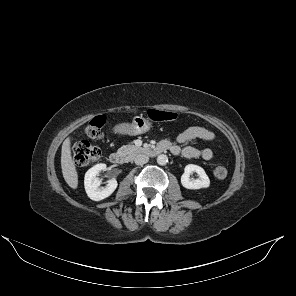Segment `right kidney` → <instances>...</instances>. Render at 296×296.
<instances>
[{
	"label": "right kidney",
	"instance_id": "1",
	"mask_svg": "<svg viewBox=\"0 0 296 296\" xmlns=\"http://www.w3.org/2000/svg\"><path fill=\"white\" fill-rule=\"evenodd\" d=\"M101 170H106V164H96L90 168L84 178V186L88 197L94 201H100L109 197L117 188L118 183L115 178L108 181L105 188H100V180L97 178V174Z\"/></svg>",
	"mask_w": 296,
	"mask_h": 296
}]
</instances>
